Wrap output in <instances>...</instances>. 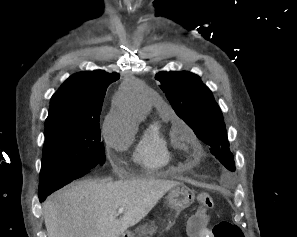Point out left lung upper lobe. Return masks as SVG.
I'll return each mask as SVG.
<instances>
[{
	"instance_id": "left-lung-upper-lobe-1",
	"label": "left lung upper lobe",
	"mask_w": 297,
	"mask_h": 237,
	"mask_svg": "<svg viewBox=\"0 0 297 237\" xmlns=\"http://www.w3.org/2000/svg\"><path fill=\"white\" fill-rule=\"evenodd\" d=\"M155 79L176 114L193 129L197 137L211 146V153L229 170H235L233 154L222 112L209 88L191 72L162 71Z\"/></svg>"
}]
</instances>
